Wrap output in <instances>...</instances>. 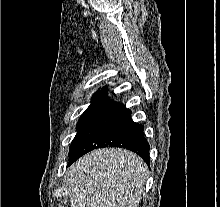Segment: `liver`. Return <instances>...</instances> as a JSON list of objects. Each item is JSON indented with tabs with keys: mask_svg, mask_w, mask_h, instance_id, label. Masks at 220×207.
I'll list each match as a JSON object with an SVG mask.
<instances>
[{
	"mask_svg": "<svg viewBox=\"0 0 220 207\" xmlns=\"http://www.w3.org/2000/svg\"><path fill=\"white\" fill-rule=\"evenodd\" d=\"M147 179L142 158L121 148L86 154L64 177L71 207H138Z\"/></svg>",
	"mask_w": 220,
	"mask_h": 207,
	"instance_id": "liver-1",
	"label": "liver"
}]
</instances>
